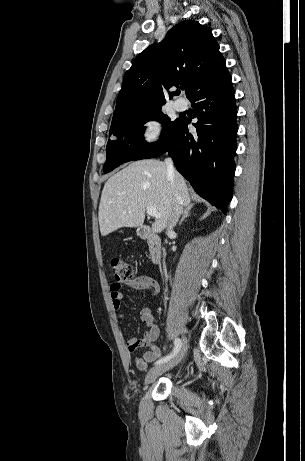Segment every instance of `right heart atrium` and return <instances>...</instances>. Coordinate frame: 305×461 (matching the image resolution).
Returning a JSON list of instances; mask_svg holds the SVG:
<instances>
[{
    "label": "right heart atrium",
    "instance_id": "right-heart-atrium-1",
    "mask_svg": "<svg viewBox=\"0 0 305 461\" xmlns=\"http://www.w3.org/2000/svg\"><path fill=\"white\" fill-rule=\"evenodd\" d=\"M163 124L157 119H147L140 127L139 137L144 145L152 146L160 142L163 137Z\"/></svg>",
    "mask_w": 305,
    "mask_h": 461
}]
</instances>
